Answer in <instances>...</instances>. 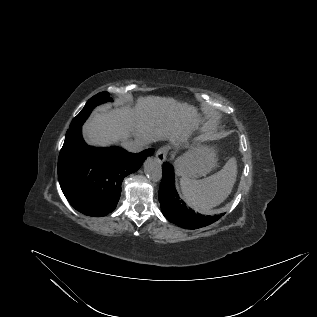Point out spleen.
<instances>
[{"mask_svg":"<svg viewBox=\"0 0 317 317\" xmlns=\"http://www.w3.org/2000/svg\"><path fill=\"white\" fill-rule=\"evenodd\" d=\"M237 176V163L230 158L223 168L201 180H193L183 176L180 186L187 204L194 210L207 213L221 204L231 193Z\"/></svg>","mask_w":317,"mask_h":317,"instance_id":"spleen-1","label":"spleen"}]
</instances>
